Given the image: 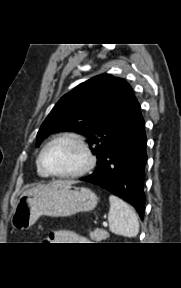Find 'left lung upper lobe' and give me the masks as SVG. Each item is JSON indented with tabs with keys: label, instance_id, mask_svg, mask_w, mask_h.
Wrapping results in <instances>:
<instances>
[{
	"label": "left lung upper lobe",
	"instance_id": "5c2ea615",
	"mask_svg": "<svg viewBox=\"0 0 181 288\" xmlns=\"http://www.w3.org/2000/svg\"><path fill=\"white\" fill-rule=\"evenodd\" d=\"M134 100L124 79L95 76L58 101L38 131L36 146L52 133L74 131L89 139L98 164L123 127Z\"/></svg>",
	"mask_w": 181,
	"mask_h": 288
}]
</instances>
